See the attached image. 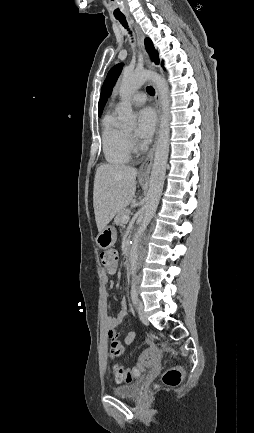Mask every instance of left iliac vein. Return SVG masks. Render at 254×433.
Listing matches in <instances>:
<instances>
[{
  "label": "left iliac vein",
  "mask_w": 254,
  "mask_h": 433,
  "mask_svg": "<svg viewBox=\"0 0 254 433\" xmlns=\"http://www.w3.org/2000/svg\"><path fill=\"white\" fill-rule=\"evenodd\" d=\"M136 307H137V311H138L140 320L142 321L143 324L148 325L149 322L147 319V315L144 311V305H143L141 300H137Z\"/></svg>",
  "instance_id": "1"
}]
</instances>
